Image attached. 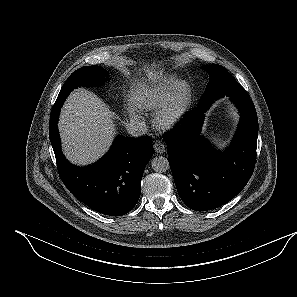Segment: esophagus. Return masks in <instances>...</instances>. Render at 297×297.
Returning a JSON list of instances; mask_svg holds the SVG:
<instances>
[{
	"label": "esophagus",
	"mask_w": 297,
	"mask_h": 297,
	"mask_svg": "<svg viewBox=\"0 0 297 297\" xmlns=\"http://www.w3.org/2000/svg\"><path fill=\"white\" fill-rule=\"evenodd\" d=\"M153 148L157 153L162 154L165 152V145L160 140L154 142Z\"/></svg>",
	"instance_id": "1"
}]
</instances>
